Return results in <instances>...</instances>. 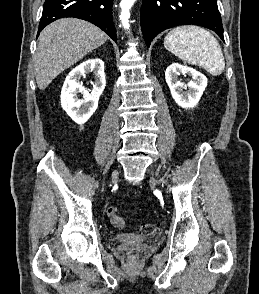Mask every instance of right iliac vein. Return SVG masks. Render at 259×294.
I'll use <instances>...</instances> for the list:
<instances>
[{
	"mask_svg": "<svg viewBox=\"0 0 259 294\" xmlns=\"http://www.w3.org/2000/svg\"><path fill=\"white\" fill-rule=\"evenodd\" d=\"M118 180V171H114L111 176V182L115 183Z\"/></svg>",
	"mask_w": 259,
	"mask_h": 294,
	"instance_id": "right-iliac-vein-1",
	"label": "right iliac vein"
}]
</instances>
